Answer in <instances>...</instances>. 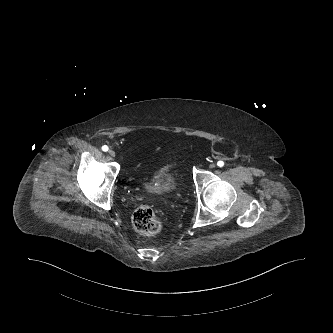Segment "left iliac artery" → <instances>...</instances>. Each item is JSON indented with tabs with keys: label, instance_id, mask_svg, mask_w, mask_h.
<instances>
[{
	"label": "left iliac artery",
	"instance_id": "obj_1",
	"mask_svg": "<svg viewBox=\"0 0 333 333\" xmlns=\"http://www.w3.org/2000/svg\"><path fill=\"white\" fill-rule=\"evenodd\" d=\"M217 165H218L219 167H223V166H224V162L220 160V161L217 162Z\"/></svg>",
	"mask_w": 333,
	"mask_h": 333
}]
</instances>
